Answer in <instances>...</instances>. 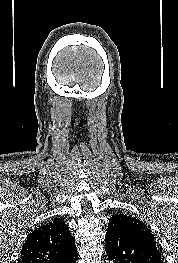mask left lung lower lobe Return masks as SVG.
Returning a JSON list of instances; mask_svg holds the SVG:
<instances>
[{"label": "left lung lower lobe", "mask_w": 178, "mask_h": 263, "mask_svg": "<svg viewBox=\"0 0 178 263\" xmlns=\"http://www.w3.org/2000/svg\"><path fill=\"white\" fill-rule=\"evenodd\" d=\"M108 259L116 263H163L152 233L111 217L105 235Z\"/></svg>", "instance_id": "1"}]
</instances>
